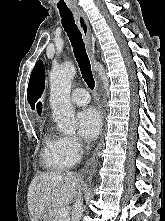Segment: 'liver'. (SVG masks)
I'll return each instance as SVG.
<instances>
[{
	"label": "liver",
	"mask_w": 165,
	"mask_h": 221,
	"mask_svg": "<svg viewBox=\"0 0 165 221\" xmlns=\"http://www.w3.org/2000/svg\"><path fill=\"white\" fill-rule=\"evenodd\" d=\"M80 178L71 173L46 172L36 175L28 188L31 221H38L49 207L68 206L80 187Z\"/></svg>",
	"instance_id": "liver-1"
}]
</instances>
